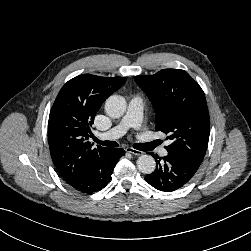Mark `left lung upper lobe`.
Instances as JSON below:
<instances>
[{"label":"left lung upper lobe","mask_w":251,"mask_h":251,"mask_svg":"<svg viewBox=\"0 0 251 251\" xmlns=\"http://www.w3.org/2000/svg\"><path fill=\"white\" fill-rule=\"evenodd\" d=\"M134 79L155 109V129L172 141L166 150L201 164L208 146L210 119L199 84L178 69H163Z\"/></svg>","instance_id":"obj_1"}]
</instances>
